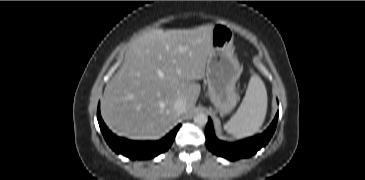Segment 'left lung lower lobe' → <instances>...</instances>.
<instances>
[{
	"instance_id": "0a47b994",
	"label": "left lung lower lobe",
	"mask_w": 365,
	"mask_h": 180,
	"mask_svg": "<svg viewBox=\"0 0 365 180\" xmlns=\"http://www.w3.org/2000/svg\"><path fill=\"white\" fill-rule=\"evenodd\" d=\"M277 120L278 113L276 114L272 124L264 133L236 143H226L219 141L215 137L213 124L209 118L205 128L207 147L214 154L229 160L250 157L268 143L275 131Z\"/></svg>"
}]
</instances>
